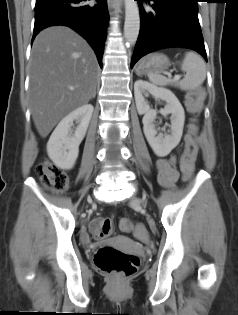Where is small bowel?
Here are the masks:
<instances>
[{
    "label": "small bowel",
    "mask_w": 238,
    "mask_h": 315,
    "mask_svg": "<svg viewBox=\"0 0 238 315\" xmlns=\"http://www.w3.org/2000/svg\"><path fill=\"white\" fill-rule=\"evenodd\" d=\"M158 182L164 188L171 189L179 178V172L175 167V158L161 159L157 162ZM190 176V175H189ZM189 176H185L188 178ZM145 240L146 238H141Z\"/></svg>",
    "instance_id": "small-bowel-1"
}]
</instances>
